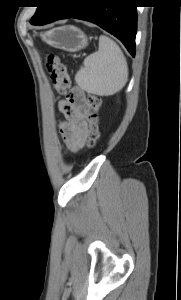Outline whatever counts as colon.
<instances>
[{
	"mask_svg": "<svg viewBox=\"0 0 181 300\" xmlns=\"http://www.w3.org/2000/svg\"><path fill=\"white\" fill-rule=\"evenodd\" d=\"M48 72L56 91L67 96L66 102L61 106V111L66 117H72L75 109L83 104L90 108L87 117L86 146L95 147L100 137L98 117L101 107L100 97L91 93L84 94L79 88L72 87L67 66L57 56L48 57Z\"/></svg>",
	"mask_w": 181,
	"mask_h": 300,
	"instance_id": "1",
	"label": "colon"
}]
</instances>
